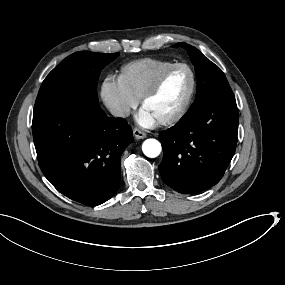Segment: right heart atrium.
Instances as JSON below:
<instances>
[{
    "instance_id": "d8ad5b80",
    "label": "right heart atrium",
    "mask_w": 285,
    "mask_h": 285,
    "mask_svg": "<svg viewBox=\"0 0 285 285\" xmlns=\"http://www.w3.org/2000/svg\"><path fill=\"white\" fill-rule=\"evenodd\" d=\"M101 98L108 111L117 119H125L138 104V98L125 89L113 72L101 80Z\"/></svg>"
}]
</instances>
